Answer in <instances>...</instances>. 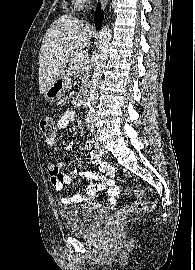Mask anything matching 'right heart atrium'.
Instances as JSON below:
<instances>
[{"instance_id": "right-heart-atrium-1", "label": "right heart atrium", "mask_w": 195, "mask_h": 270, "mask_svg": "<svg viewBox=\"0 0 195 270\" xmlns=\"http://www.w3.org/2000/svg\"><path fill=\"white\" fill-rule=\"evenodd\" d=\"M78 3L80 4H85L86 2H88L89 0H76Z\"/></svg>"}]
</instances>
